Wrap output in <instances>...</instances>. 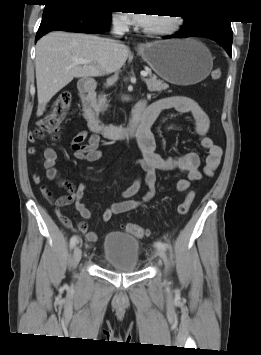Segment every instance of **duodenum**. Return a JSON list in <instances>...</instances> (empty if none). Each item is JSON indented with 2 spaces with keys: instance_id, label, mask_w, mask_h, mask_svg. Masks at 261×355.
<instances>
[{
  "instance_id": "duodenum-1",
  "label": "duodenum",
  "mask_w": 261,
  "mask_h": 355,
  "mask_svg": "<svg viewBox=\"0 0 261 355\" xmlns=\"http://www.w3.org/2000/svg\"><path fill=\"white\" fill-rule=\"evenodd\" d=\"M97 87L98 84L91 80H84L79 84L83 116L91 131L113 139L118 137H131L151 127V121L146 119L142 113V105L140 102L143 100L138 102L135 106L131 122L128 125L123 126L101 122L95 111V92Z\"/></svg>"
}]
</instances>
